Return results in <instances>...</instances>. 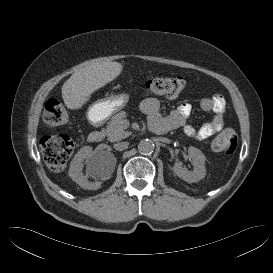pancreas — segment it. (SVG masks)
Returning a JSON list of instances; mask_svg holds the SVG:
<instances>
[{"label":"pancreas","instance_id":"pancreas-1","mask_svg":"<svg viewBox=\"0 0 273 273\" xmlns=\"http://www.w3.org/2000/svg\"><path fill=\"white\" fill-rule=\"evenodd\" d=\"M126 117V112L121 111L115 114L109 121L105 134L110 142L122 140L130 135L128 131H125L126 127L123 125Z\"/></svg>","mask_w":273,"mask_h":273}]
</instances>
